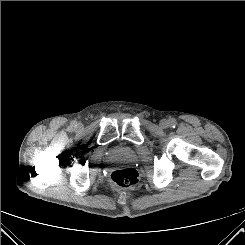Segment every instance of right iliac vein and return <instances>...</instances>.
<instances>
[{"instance_id":"63e3f726","label":"right iliac vein","mask_w":245,"mask_h":245,"mask_svg":"<svg viewBox=\"0 0 245 245\" xmlns=\"http://www.w3.org/2000/svg\"><path fill=\"white\" fill-rule=\"evenodd\" d=\"M78 127L80 128V127H81V125H80V124H78Z\"/></svg>"}]
</instances>
